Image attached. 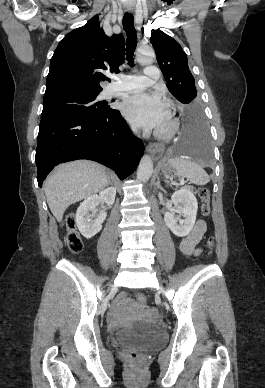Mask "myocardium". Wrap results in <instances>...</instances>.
<instances>
[{
    "label": "myocardium",
    "mask_w": 265,
    "mask_h": 388,
    "mask_svg": "<svg viewBox=\"0 0 265 388\" xmlns=\"http://www.w3.org/2000/svg\"><path fill=\"white\" fill-rule=\"evenodd\" d=\"M178 125H179V120L177 118L170 116L162 126L156 129L155 134L160 139H163V140L170 139L173 136L176 129L178 128Z\"/></svg>",
    "instance_id": "myocardium-1"
}]
</instances>
